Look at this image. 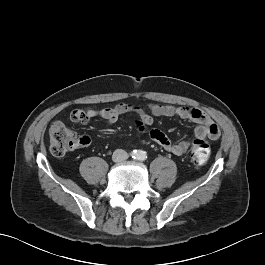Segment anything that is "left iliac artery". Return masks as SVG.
I'll use <instances>...</instances> for the list:
<instances>
[{"instance_id": "44dca946", "label": "left iliac artery", "mask_w": 265, "mask_h": 265, "mask_svg": "<svg viewBox=\"0 0 265 265\" xmlns=\"http://www.w3.org/2000/svg\"><path fill=\"white\" fill-rule=\"evenodd\" d=\"M139 159H140V160H144V159H145V154H144V153H141Z\"/></svg>"}]
</instances>
